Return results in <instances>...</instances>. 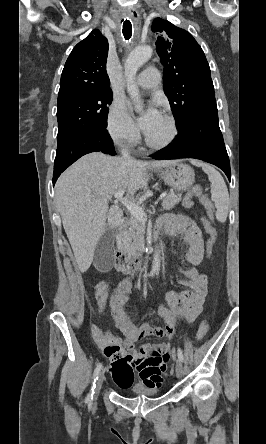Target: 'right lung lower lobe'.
Here are the masks:
<instances>
[{"label": "right lung lower lobe", "mask_w": 266, "mask_h": 444, "mask_svg": "<svg viewBox=\"0 0 266 444\" xmlns=\"http://www.w3.org/2000/svg\"><path fill=\"white\" fill-rule=\"evenodd\" d=\"M115 155L113 142L107 130H96L82 134L56 152L53 185L60 174L83 155L91 152Z\"/></svg>", "instance_id": "1"}]
</instances>
